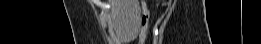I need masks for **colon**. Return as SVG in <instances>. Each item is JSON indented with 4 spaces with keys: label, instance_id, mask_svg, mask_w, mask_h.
<instances>
[{
    "label": "colon",
    "instance_id": "5ec220e1",
    "mask_svg": "<svg viewBox=\"0 0 261 44\" xmlns=\"http://www.w3.org/2000/svg\"><path fill=\"white\" fill-rule=\"evenodd\" d=\"M142 10H143V14L147 17V9H146V7L143 6Z\"/></svg>",
    "mask_w": 261,
    "mask_h": 44
}]
</instances>
